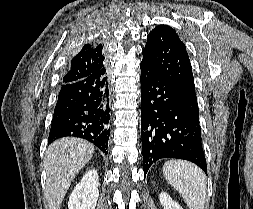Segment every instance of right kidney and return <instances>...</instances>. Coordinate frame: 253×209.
<instances>
[{"instance_id": "ca27d5eb", "label": "right kidney", "mask_w": 253, "mask_h": 209, "mask_svg": "<svg viewBox=\"0 0 253 209\" xmlns=\"http://www.w3.org/2000/svg\"><path fill=\"white\" fill-rule=\"evenodd\" d=\"M99 185L97 171L89 170L70 195L68 209H95L99 196Z\"/></svg>"}]
</instances>
